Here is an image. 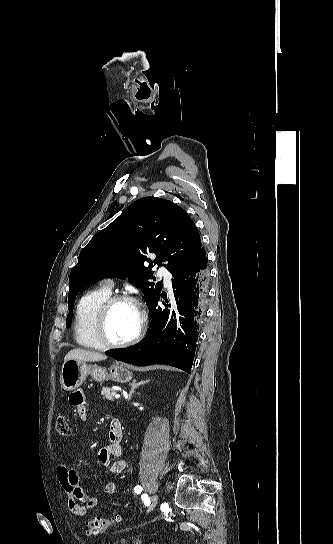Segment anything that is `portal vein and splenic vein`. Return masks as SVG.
Masks as SVG:
<instances>
[{"label": "portal vein and splenic vein", "instance_id": "portal-vein-and-splenic-vein-1", "mask_svg": "<svg viewBox=\"0 0 333 544\" xmlns=\"http://www.w3.org/2000/svg\"><path fill=\"white\" fill-rule=\"evenodd\" d=\"M114 397L118 399L120 398V394H115Z\"/></svg>", "mask_w": 333, "mask_h": 544}]
</instances>
